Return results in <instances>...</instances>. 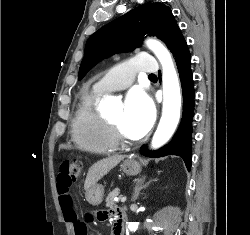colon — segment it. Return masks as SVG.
<instances>
[{
	"instance_id": "5ec220e1",
	"label": "colon",
	"mask_w": 250,
	"mask_h": 235,
	"mask_svg": "<svg viewBox=\"0 0 250 235\" xmlns=\"http://www.w3.org/2000/svg\"><path fill=\"white\" fill-rule=\"evenodd\" d=\"M83 164L79 159L64 160L59 166L58 186L69 191L72 184L82 176ZM98 220V213L89 215V221ZM88 222V221H86ZM76 221L74 224L76 235H87V223Z\"/></svg>"
}]
</instances>
